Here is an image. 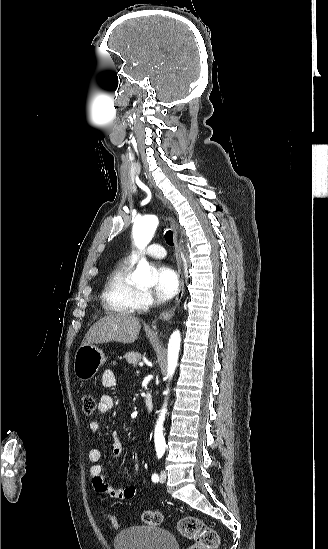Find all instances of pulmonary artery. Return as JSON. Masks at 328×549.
Returning <instances> with one entry per match:
<instances>
[{
	"label": "pulmonary artery",
	"instance_id": "obj_1",
	"mask_svg": "<svg viewBox=\"0 0 328 549\" xmlns=\"http://www.w3.org/2000/svg\"><path fill=\"white\" fill-rule=\"evenodd\" d=\"M146 253L152 258L167 257L169 249L167 246H151L146 250ZM128 258L133 260L137 259V252H130Z\"/></svg>",
	"mask_w": 328,
	"mask_h": 549
}]
</instances>
